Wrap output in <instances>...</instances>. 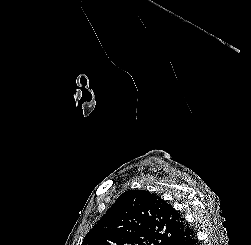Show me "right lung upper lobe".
Masks as SVG:
<instances>
[{
	"label": "right lung upper lobe",
	"mask_w": 251,
	"mask_h": 245,
	"mask_svg": "<svg viewBox=\"0 0 251 245\" xmlns=\"http://www.w3.org/2000/svg\"><path fill=\"white\" fill-rule=\"evenodd\" d=\"M187 229L180 213L161 197L129 190L86 234L82 245H167Z\"/></svg>",
	"instance_id": "1"
}]
</instances>
